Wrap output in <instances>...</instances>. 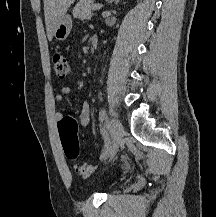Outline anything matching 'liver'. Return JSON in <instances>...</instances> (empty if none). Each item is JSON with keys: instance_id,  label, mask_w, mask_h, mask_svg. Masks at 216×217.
I'll use <instances>...</instances> for the list:
<instances>
[{"instance_id": "1", "label": "liver", "mask_w": 216, "mask_h": 217, "mask_svg": "<svg viewBox=\"0 0 216 217\" xmlns=\"http://www.w3.org/2000/svg\"><path fill=\"white\" fill-rule=\"evenodd\" d=\"M74 1L75 0H43L48 39H52L59 21L66 14L68 8Z\"/></svg>"}]
</instances>
